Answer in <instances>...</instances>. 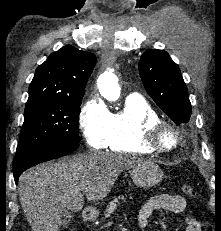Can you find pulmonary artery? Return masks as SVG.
<instances>
[{
  "label": "pulmonary artery",
  "mask_w": 221,
  "mask_h": 231,
  "mask_svg": "<svg viewBox=\"0 0 221 231\" xmlns=\"http://www.w3.org/2000/svg\"><path fill=\"white\" fill-rule=\"evenodd\" d=\"M130 96H138L137 94H131Z\"/></svg>",
  "instance_id": "pulmonary-artery-1"
}]
</instances>
